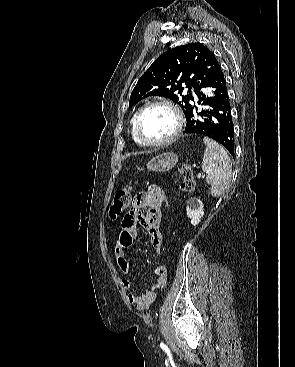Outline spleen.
<instances>
[{"label":"spleen","instance_id":"1","mask_svg":"<svg viewBox=\"0 0 295 367\" xmlns=\"http://www.w3.org/2000/svg\"><path fill=\"white\" fill-rule=\"evenodd\" d=\"M206 146L202 162V170L206 174V182L211 186L210 193L219 197L226 193L232 176L231 159L225 149L217 142L205 137Z\"/></svg>","mask_w":295,"mask_h":367}]
</instances>
